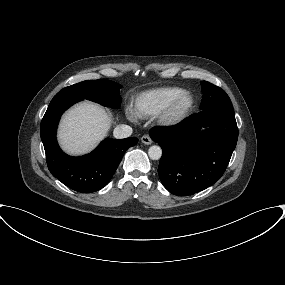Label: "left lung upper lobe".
I'll return each instance as SVG.
<instances>
[{"instance_id":"1","label":"left lung upper lobe","mask_w":285,"mask_h":285,"mask_svg":"<svg viewBox=\"0 0 285 285\" xmlns=\"http://www.w3.org/2000/svg\"><path fill=\"white\" fill-rule=\"evenodd\" d=\"M201 90L203 93L202 101L200 104L201 110L215 107L233 110L230 98L218 86L213 85L207 81H203L201 83Z\"/></svg>"}]
</instances>
